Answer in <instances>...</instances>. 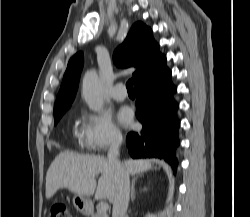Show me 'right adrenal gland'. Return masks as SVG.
Here are the masks:
<instances>
[{
	"instance_id": "right-adrenal-gland-1",
	"label": "right adrenal gland",
	"mask_w": 250,
	"mask_h": 217,
	"mask_svg": "<svg viewBox=\"0 0 250 217\" xmlns=\"http://www.w3.org/2000/svg\"><path fill=\"white\" fill-rule=\"evenodd\" d=\"M135 181H136V178L133 179L132 185H131V199H132V201L135 200ZM143 190L145 191V190H147V188H144Z\"/></svg>"
}]
</instances>
